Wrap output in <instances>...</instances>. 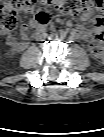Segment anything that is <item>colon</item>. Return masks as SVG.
Listing matches in <instances>:
<instances>
[{
    "mask_svg": "<svg viewBox=\"0 0 104 137\" xmlns=\"http://www.w3.org/2000/svg\"><path fill=\"white\" fill-rule=\"evenodd\" d=\"M102 12L104 0H8L0 7V23L4 32L14 30L22 15L33 14L39 24H48L53 12L74 15L86 11ZM102 21L98 19L93 30V49L102 52Z\"/></svg>",
    "mask_w": 104,
    "mask_h": 137,
    "instance_id": "1",
    "label": "colon"
}]
</instances>
